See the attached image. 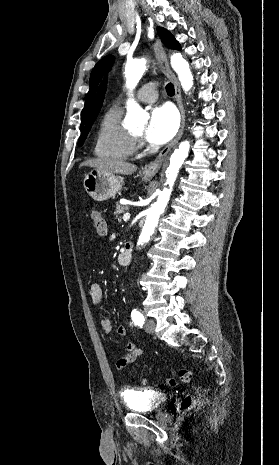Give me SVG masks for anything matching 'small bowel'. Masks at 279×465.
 <instances>
[{"label":"small bowel","mask_w":279,"mask_h":465,"mask_svg":"<svg viewBox=\"0 0 279 465\" xmlns=\"http://www.w3.org/2000/svg\"><path fill=\"white\" fill-rule=\"evenodd\" d=\"M89 296L92 304H100L103 301L102 288L98 284H93L90 287ZM100 325L105 335L108 336L112 333L113 325L111 320L104 318L100 321ZM117 333L125 337L127 335V329L124 326H120L117 329ZM143 355L144 351L138 348L134 342H128L125 347V353L117 360L116 367L118 370H124Z\"/></svg>","instance_id":"small-bowel-1"}]
</instances>
